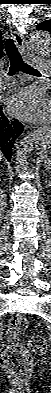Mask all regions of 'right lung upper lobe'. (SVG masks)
Masks as SVG:
<instances>
[{"label": "right lung upper lobe", "mask_w": 51, "mask_h": 393, "mask_svg": "<svg viewBox=\"0 0 51 393\" xmlns=\"http://www.w3.org/2000/svg\"><path fill=\"white\" fill-rule=\"evenodd\" d=\"M2 51H3V43H2V37H1V31H0V58L2 56Z\"/></svg>", "instance_id": "right-lung-upper-lobe-1"}]
</instances>
